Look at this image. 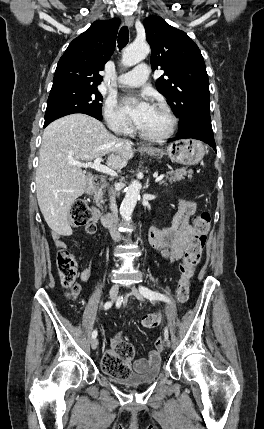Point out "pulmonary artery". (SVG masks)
Wrapping results in <instances>:
<instances>
[{
    "mask_svg": "<svg viewBox=\"0 0 264 429\" xmlns=\"http://www.w3.org/2000/svg\"><path fill=\"white\" fill-rule=\"evenodd\" d=\"M148 76V65L139 64L132 71L119 75L117 78V84L122 87H138L147 81Z\"/></svg>",
    "mask_w": 264,
    "mask_h": 429,
    "instance_id": "e3ab8cb5",
    "label": "pulmonary artery"
}]
</instances>
